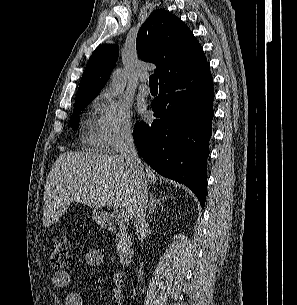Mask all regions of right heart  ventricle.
Listing matches in <instances>:
<instances>
[{"mask_svg": "<svg viewBox=\"0 0 297 305\" xmlns=\"http://www.w3.org/2000/svg\"><path fill=\"white\" fill-rule=\"evenodd\" d=\"M83 146L91 151H102L104 149L103 139L99 131L98 121L90 115L85 123L81 135Z\"/></svg>", "mask_w": 297, "mask_h": 305, "instance_id": "e07e8e85", "label": "right heart ventricle"}]
</instances>
